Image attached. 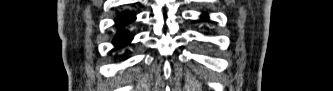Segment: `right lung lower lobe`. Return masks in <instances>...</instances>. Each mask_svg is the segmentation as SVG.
<instances>
[{"label": "right lung lower lobe", "instance_id": "right-lung-lower-lobe-1", "mask_svg": "<svg viewBox=\"0 0 333 91\" xmlns=\"http://www.w3.org/2000/svg\"><path fill=\"white\" fill-rule=\"evenodd\" d=\"M135 20V16L130 13H122L119 17L116 18V25L118 26V33L114 38V45L116 47H122L129 43L132 40V35H130L124 27Z\"/></svg>", "mask_w": 333, "mask_h": 91}]
</instances>
